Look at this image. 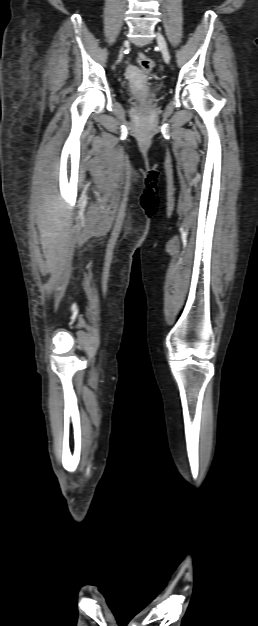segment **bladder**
<instances>
[{
  "label": "bladder",
  "mask_w": 258,
  "mask_h": 626,
  "mask_svg": "<svg viewBox=\"0 0 258 626\" xmlns=\"http://www.w3.org/2000/svg\"><path fill=\"white\" fill-rule=\"evenodd\" d=\"M157 92H158V89H157L156 87H151V88L148 90V92H147L146 96H147L148 98H153V97H155V95L157 94Z\"/></svg>",
  "instance_id": "bladder-1"
}]
</instances>
